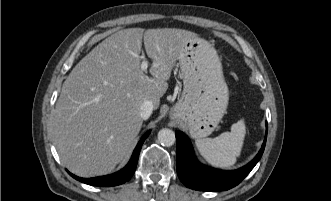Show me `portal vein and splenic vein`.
I'll list each match as a JSON object with an SVG mask.
<instances>
[{
	"instance_id": "18ae733b",
	"label": "portal vein and splenic vein",
	"mask_w": 331,
	"mask_h": 201,
	"mask_svg": "<svg viewBox=\"0 0 331 201\" xmlns=\"http://www.w3.org/2000/svg\"><path fill=\"white\" fill-rule=\"evenodd\" d=\"M141 58L143 59L142 63H141V70L142 71H146L148 68V61L145 60V58L143 56H141Z\"/></svg>"
}]
</instances>
